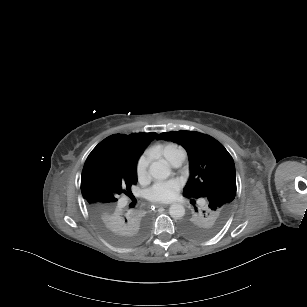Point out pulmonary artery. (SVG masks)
<instances>
[{"label": "pulmonary artery", "mask_w": 307, "mask_h": 307, "mask_svg": "<svg viewBox=\"0 0 307 307\" xmlns=\"http://www.w3.org/2000/svg\"><path fill=\"white\" fill-rule=\"evenodd\" d=\"M162 155L172 167H179L185 161L187 152L182 147L173 146L165 148ZM121 204L125 206L126 202L122 201Z\"/></svg>", "instance_id": "1"}]
</instances>
